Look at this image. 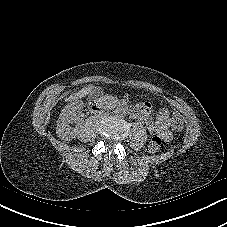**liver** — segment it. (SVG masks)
Instances as JSON below:
<instances>
[{"mask_svg":"<svg viewBox=\"0 0 227 227\" xmlns=\"http://www.w3.org/2000/svg\"><path fill=\"white\" fill-rule=\"evenodd\" d=\"M91 89H92V87L86 88V89H85V90H86L85 94H87L89 91H91Z\"/></svg>","mask_w":227,"mask_h":227,"instance_id":"1","label":"liver"}]
</instances>
